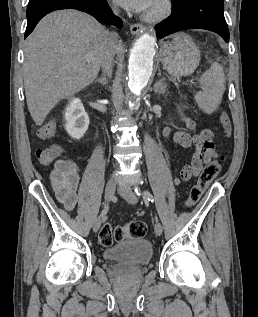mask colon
<instances>
[{"mask_svg": "<svg viewBox=\"0 0 258 317\" xmlns=\"http://www.w3.org/2000/svg\"><path fill=\"white\" fill-rule=\"evenodd\" d=\"M220 126L226 136H230L232 126L229 116L222 113L219 118ZM62 153V149L58 145H52L36 152L38 160L43 164H49L57 159ZM221 170L219 160L210 161L203 168L197 183L191 188L189 196L185 202L186 206L195 205L202 197L203 193L209 187L211 182L218 176ZM146 225L141 221H131L125 225L113 227L109 223H105L99 232V241L104 246H110L114 242L127 239H140L146 234Z\"/></svg>", "mask_w": 258, "mask_h": 317, "instance_id": "colon-1", "label": "colon"}]
</instances>
